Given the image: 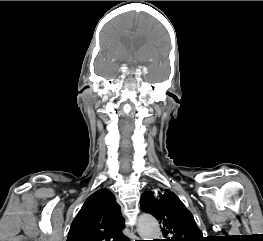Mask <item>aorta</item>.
Returning a JSON list of instances; mask_svg holds the SVG:
<instances>
[{
    "mask_svg": "<svg viewBox=\"0 0 263 241\" xmlns=\"http://www.w3.org/2000/svg\"><path fill=\"white\" fill-rule=\"evenodd\" d=\"M137 230L143 240H153L160 236L159 224L157 220L149 214L139 216Z\"/></svg>",
    "mask_w": 263,
    "mask_h": 241,
    "instance_id": "762f6f07",
    "label": "aorta"
}]
</instances>
